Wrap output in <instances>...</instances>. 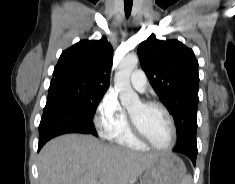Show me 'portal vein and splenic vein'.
I'll use <instances>...</instances> for the list:
<instances>
[{
    "label": "portal vein and splenic vein",
    "mask_w": 235,
    "mask_h": 184,
    "mask_svg": "<svg viewBox=\"0 0 235 184\" xmlns=\"http://www.w3.org/2000/svg\"><path fill=\"white\" fill-rule=\"evenodd\" d=\"M93 184H100V182H93Z\"/></svg>",
    "instance_id": "1"
}]
</instances>
